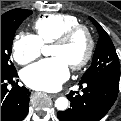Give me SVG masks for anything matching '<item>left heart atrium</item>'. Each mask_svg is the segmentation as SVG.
Here are the masks:
<instances>
[{
  "label": "left heart atrium",
  "mask_w": 121,
  "mask_h": 121,
  "mask_svg": "<svg viewBox=\"0 0 121 121\" xmlns=\"http://www.w3.org/2000/svg\"><path fill=\"white\" fill-rule=\"evenodd\" d=\"M68 76L69 65L62 57L39 61L22 72V79L28 86L44 91L57 90Z\"/></svg>",
  "instance_id": "left-heart-atrium-1"
}]
</instances>
